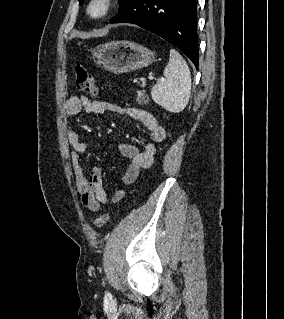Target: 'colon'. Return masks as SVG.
Wrapping results in <instances>:
<instances>
[{
    "mask_svg": "<svg viewBox=\"0 0 284 319\" xmlns=\"http://www.w3.org/2000/svg\"><path fill=\"white\" fill-rule=\"evenodd\" d=\"M75 73H76V86L77 88L91 96H95L98 93V87L93 79V77L88 73L86 68L80 64L77 63L75 65ZM111 214L106 213L101 216H99L95 221H94V226L95 227H101L105 225L108 220L110 219Z\"/></svg>",
    "mask_w": 284,
    "mask_h": 319,
    "instance_id": "1",
    "label": "colon"
}]
</instances>
